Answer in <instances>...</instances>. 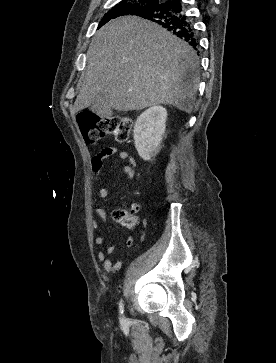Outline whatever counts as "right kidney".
<instances>
[{"label":"right kidney","instance_id":"ca27d5eb","mask_svg":"<svg viewBox=\"0 0 276 363\" xmlns=\"http://www.w3.org/2000/svg\"><path fill=\"white\" fill-rule=\"evenodd\" d=\"M167 111L162 106H153L144 111L134 125V143L139 156L149 161L160 148L165 133Z\"/></svg>","mask_w":276,"mask_h":363}]
</instances>
